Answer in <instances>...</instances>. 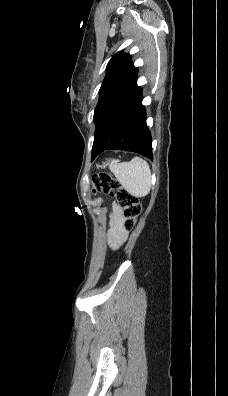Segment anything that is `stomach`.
<instances>
[{
  "mask_svg": "<svg viewBox=\"0 0 228 396\" xmlns=\"http://www.w3.org/2000/svg\"><path fill=\"white\" fill-rule=\"evenodd\" d=\"M114 162H116V160H113V161H112V163H114ZM107 165H108V163H104V164L102 165V167L105 168Z\"/></svg>",
  "mask_w": 228,
  "mask_h": 396,
  "instance_id": "obj_1",
  "label": "stomach"
}]
</instances>
